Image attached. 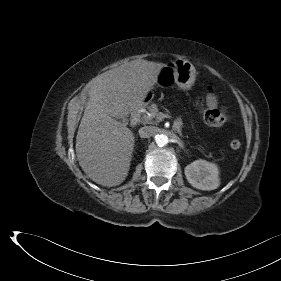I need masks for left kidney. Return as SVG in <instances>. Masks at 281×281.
<instances>
[{"instance_id": "1", "label": "left kidney", "mask_w": 281, "mask_h": 281, "mask_svg": "<svg viewBox=\"0 0 281 281\" xmlns=\"http://www.w3.org/2000/svg\"><path fill=\"white\" fill-rule=\"evenodd\" d=\"M187 181L196 189L214 190L220 185L218 166L206 160H195L185 167Z\"/></svg>"}]
</instances>
